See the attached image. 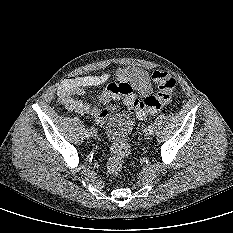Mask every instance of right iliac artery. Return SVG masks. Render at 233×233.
I'll list each match as a JSON object with an SVG mask.
<instances>
[{
	"label": "right iliac artery",
	"mask_w": 233,
	"mask_h": 233,
	"mask_svg": "<svg viewBox=\"0 0 233 233\" xmlns=\"http://www.w3.org/2000/svg\"><path fill=\"white\" fill-rule=\"evenodd\" d=\"M90 135H91V130L87 128L86 131H85V136H86L87 138H89Z\"/></svg>",
	"instance_id": "1"
}]
</instances>
